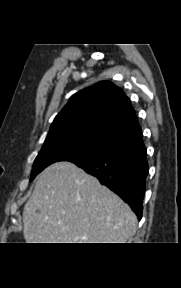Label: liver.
Masks as SVG:
<instances>
[{
    "label": "liver",
    "mask_w": 181,
    "mask_h": 288,
    "mask_svg": "<svg viewBox=\"0 0 181 288\" xmlns=\"http://www.w3.org/2000/svg\"><path fill=\"white\" fill-rule=\"evenodd\" d=\"M136 226L120 197L66 161L40 173L23 211L27 243H126Z\"/></svg>",
    "instance_id": "obj_1"
}]
</instances>
